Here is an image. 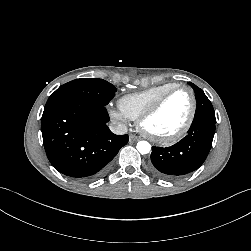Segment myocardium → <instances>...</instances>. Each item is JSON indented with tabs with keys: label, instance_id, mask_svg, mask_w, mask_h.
Returning <instances> with one entry per match:
<instances>
[{
	"label": "myocardium",
	"instance_id": "1",
	"mask_svg": "<svg viewBox=\"0 0 251 251\" xmlns=\"http://www.w3.org/2000/svg\"><path fill=\"white\" fill-rule=\"evenodd\" d=\"M179 90H186L191 96V111L188 116V119L177 132L171 135L162 136V137L153 135L145 128V122L159 111V109L162 107L165 101L169 98V96H171L173 93ZM196 113H197V98L193 89L186 85H176L172 87L171 89L167 90L165 93H163L147 110H145L140 115V117L137 119V125L140 132L146 138L160 144H170V143L179 141L188 133V131L190 130L195 120Z\"/></svg>",
	"mask_w": 251,
	"mask_h": 251
}]
</instances>
